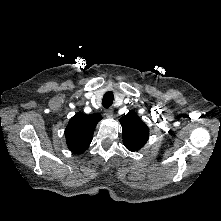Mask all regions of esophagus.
Returning <instances> with one entry per match:
<instances>
[{
    "instance_id": "esophagus-1",
    "label": "esophagus",
    "mask_w": 221,
    "mask_h": 221,
    "mask_svg": "<svg viewBox=\"0 0 221 221\" xmlns=\"http://www.w3.org/2000/svg\"><path fill=\"white\" fill-rule=\"evenodd\" d=\"M104 115L108 118L112 117L113 116V109L112 108L106 109Z\"/></svg>"
}]
</instances>
